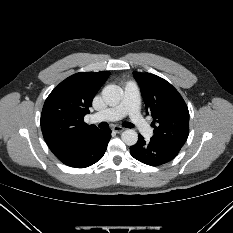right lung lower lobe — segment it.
<instances>
[{
    "label": "right lung lower lobe",
    "mask_w": 233,
    "mask_h": 233,
    "mask_svg": "<svg viewBox=\"0 0 233 233\" xmlns=\"http://www.w3.org/2000/svg\"><path fill=\"white\" fill-rule=\"evenodd\" d=\"M111 138V130H96L82 138L75 146L56 156L62 163L75 168H84L99 161Z\"/></svg>",
    "instance_id": "right-lung-lower-lobe-1"
}]
</instances>
